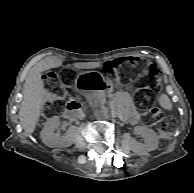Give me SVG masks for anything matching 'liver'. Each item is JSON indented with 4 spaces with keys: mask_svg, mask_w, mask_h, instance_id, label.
<instances>
[{
    "mask_svg": "<svg viewBox=\"0 0 194 193\" xmlns=\"http://www.w3.org/2000/svg\"><path fill=\"white\" fill-rule=\"evenodd\" d=\"M61 64V59L54 57L45 58L33 66L27 75L23 90V101L19 109V120L28 135L34 132L42 107L48 96V92L44 88L41 73L52 68L60 67ZM73 66L76 69H90L100 67L101 63L77 62Z\"/></svg>",
    "mask_w": 194,
    "mask_h": 193,
    "instance_id": "1",
    "label": "liver"
}]
</instances>
